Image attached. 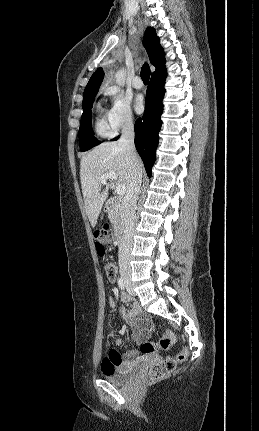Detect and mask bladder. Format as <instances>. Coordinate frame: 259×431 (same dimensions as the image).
<instances>
[{
    "mask_svg": "<svg viewBox=\"0 0 259 431\" xmlns=\"http://www.w3.org/2000/svg\"><path fill=\"white\" fill-rule=\"evenodd\" d=\"M139 369L137 363L123 364L111 372H104L103 378L115 385H121L131 378Z\"/></svg>",
    "mask_w": 259,
    "mask_h": 431,
    "instance_id": "1",
    "label": "bladder"
}]
</instances>
